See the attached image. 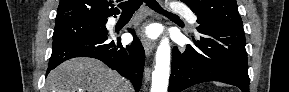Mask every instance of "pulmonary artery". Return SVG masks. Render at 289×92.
I'll return each instance as SVG.
<instances>
[{"label":"pulmonary artery","mask_w":289,"mask_h":92,"mask_svg":"<svg viewBox=\"0 0 289 92\" xmlns=\"http://www.w3.org/2000/svg\"><path fill=\"white\" fill-rule=\"evenodd\" d=\"M172 10L176 13L184 15L191 24H196L197 17L196 15L189 10L188 8L181 6V5H173Z\"/></svg>","instance_id":"e3ab8cb5"}]
</instances>
